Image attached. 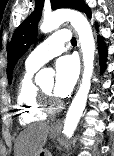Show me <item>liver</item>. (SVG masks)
I'll use <instances>...</instances> for the list:
<instances>
[{
	"label": "liver",
	"instance_id": "obj_1",
	"mask_svg": "<svg viewBox=\"0 0 114 156\" xmlns=\"http://www.w3.org/2000/svg\"><path fill=\"white\" fill-rule=\"evenodd\" d=\"M50 126L47 123H35L24 129L18 136L15 156H38L47 141Z\"/></svg>",
	"mask_w": 114,
	"mask_h": 156
}]
</instances>
